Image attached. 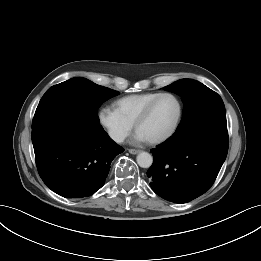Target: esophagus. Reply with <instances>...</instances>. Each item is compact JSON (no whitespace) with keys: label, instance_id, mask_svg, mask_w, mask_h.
<instances>
[{"label":"esophagus","instance_id":"34e87169","mask_svg":"<svg viewBox=\"0 0 261 261\" xmlns=\"http://www.w3.org/2000/svg\"><path fill=\"white\" fill-rule=\"evenodd\" d=\"M128 151L131 154H138L140 152V150H137V149H129Z\"/></svg>","mask_w":261,"mask_h":261}]
</instances>
